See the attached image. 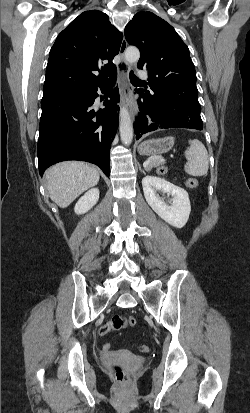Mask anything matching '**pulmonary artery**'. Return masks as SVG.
<instances>
[{"instance_id":"pulmonary-artery-1","label":"pulmonary artery","mask_w":250,"mask_h":413,"mask_svg":"<svg viewBox=\"0 0 250 413\" xmlns=\"http://www.w3.org/2000/svg\"><path fill=\"white\" fill-rule=\"evenodd\" d=\"M139 77L143 80L147 79V73L145 71H139Z\"/></svg>"}]
</instances>
